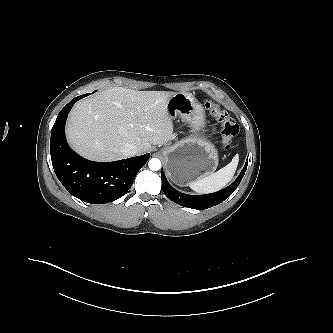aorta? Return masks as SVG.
<instances>
[{"label": "aorta", "mask_w": 333, "mask_h": 333, "mask_svg": "<svg viewBox=\"0 0 333 333\" xmlns=\"http://www.w3.org/2000/svg\"><path fill=\"white\" fill-rule=\"evenodd\" d=\"M148 166L152 171H158L161 169V162L157 158H152L149 160Z\"/></svg>", "instance_id": "762f6f07"}]
</instances>
